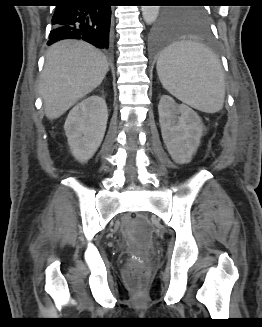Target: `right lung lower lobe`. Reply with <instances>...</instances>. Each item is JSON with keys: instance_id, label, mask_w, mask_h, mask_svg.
Returning a JSON list of instances; mask_svg holds the SVG:
<instances>
[{"instance_id": "obj_1", "label": "right lung lower lobe", "mask_w": 262, "mask_h": 327, "mask_svg": "<svg viewBox=\"0 0 262 327\" xmlns=\"http://www.w3.org/2000/svg\"><path fill=\"white\" fill-rule=\"evenodd\" d=\"M62 3L65 4L56 6L47 44L74 38L109 50L111 6L104 0H63Z\"/></svg>"}]
</instances>
